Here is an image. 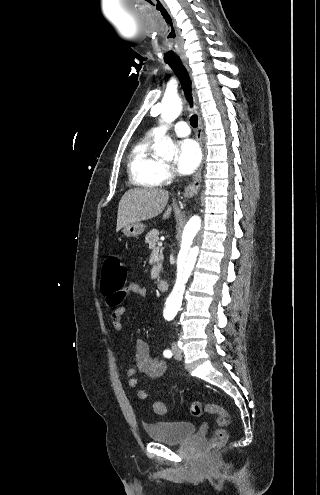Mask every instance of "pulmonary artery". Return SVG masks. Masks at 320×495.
Here are the masks:
<instances>
[{
    "instance_id": "pulmonary-artery-1",
    "label": "pulmonary artery",
    "mask_w": 320,
    "mask_h": 495,
    "mask_svg": "<svg viewBox=\"0 0 320 495\" xmlns=\"http://www.w3.org/2000/svg\"><path fill=\"white\" fill-rule=\"evenodd\" d=\"M167 129L168 128L166 126L162 125V126H158V127L153 128L151 133L155 136H160V135H163L167 131ZM173 130L180 137H185V136H188L190 134L189 126L185 121L177 122L173 126Z\"/></svg>"
}]
</instances>
